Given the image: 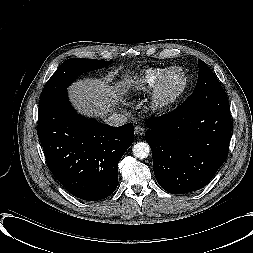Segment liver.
Segmentation results:
<instances>
[{
  "label": "liver",
  "mask_w": 253,
  "mask_h": 253,
  "mask_svg": "<svg viewBox=\"0 0 253 253\" xmlns=\"http://www.w3.org/2000/svg\"><path fill=\"white\" fill-rule=\"evenodd\" d=\"M109 82L110 78L104 81L85 79L73 83L68 88L73 106L79 113L87 117L105 119L111 112L114 99H119L117 95L125 94L134 81L126 78L116 86H110Z\"/></svg>",
  "instance_id": "liver-1"
}]
</instances>
